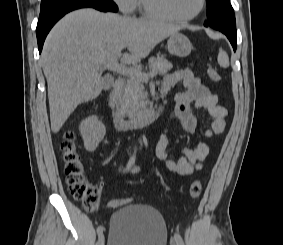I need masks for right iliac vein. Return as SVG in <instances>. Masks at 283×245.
<instances>
[{
	"label": "right iliac vein",
	"instance_id": "1",
	"mask_svg": "<svg viewBox=\"0 0 283 245\" xmlns=\"http://www.w3.org/2000/svg\"><path fill=\"white\" fill-rule=\"evenodd\" d=\"M104 243H105L104 235L100 234L98 238V245H104Z\"/></svg>",
	"mask_w": 283,
	"mask_h": 245
}]
</instances>
